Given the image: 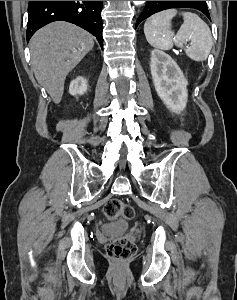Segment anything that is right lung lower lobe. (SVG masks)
<instances>
[{
	"label": "right lung lower lobe",
	"mask_w": 237,
	"mask_h": 300,
	"mask_svg": "<svg viewBox=\"0 0 237 300\" xmlns=\"http://www.w3.org/2000/svg\"><path fill=\"white\" fill-rule=\"evenodd\" d=\"M103 1H29L27 41L41 27L54 21H68L93 34L103 48Z\"/></svg>",
	"instance_id": "obj_1"
}]
</instances>
